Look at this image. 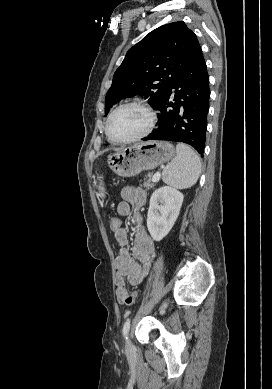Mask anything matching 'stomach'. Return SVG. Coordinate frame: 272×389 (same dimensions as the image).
Instances as JSON below:
<instances>
[{"label":"stomach","mask_w":272,"mask_h":389,"mask_svg":"<svg viewBox=\"0 0 272 389\" xmlns=\"http://www.w3.org/2000/svg\"><path fill=\"white\" fill-rule=\"evenodd\" d=\"M175 156L172 144L165 141H145L126 147L108 157L110 169L120 177H132L143 170L154 169ZM98 195L104 200L103 177H98Z\"/></svg>","instance_id":"0dacf381"}]
</instances>
